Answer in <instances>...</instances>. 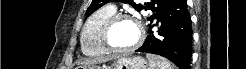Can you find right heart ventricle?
<instances>
[{
    "instance_id": "obj_1",
    "label": "right heart ventricle",
    "mask_w": 246,
    "mask_h": 69,
    "mask_svg": "<svg viewBox=\"0 0 246 69\" xmlns=\"http://www.w3.org/2000/svg\"><path fill=\"white\" fill-rule=\"evenodd\" d=\"M116 13L113 6H105L94 11L84 24L81 34L82 52L90 57H101L109 54L101 38L105 21Z\"/></svg>"
}]
</instances>
